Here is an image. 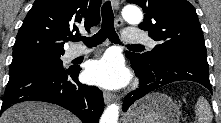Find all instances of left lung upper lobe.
<instances>
[{
	"label": "left lung upper lobe",
	"mask_w": 221,
	"mask_h": 123,
	"mask_svg": "<svg viewBox=\"0 0 221 123\" xmlns=\"http://www.w3.org/2000/svg\"><path fill=\"white\" fill-rule=\"evenodd\" d=\"M145 12L139 28L148 31L158 42L150 52H127L146 63L165 61L179 56L207 60L201 25L195 8L187 0H127Z\"/></svg>",
	"instance_id": "obj_1"
}]
</instances>
